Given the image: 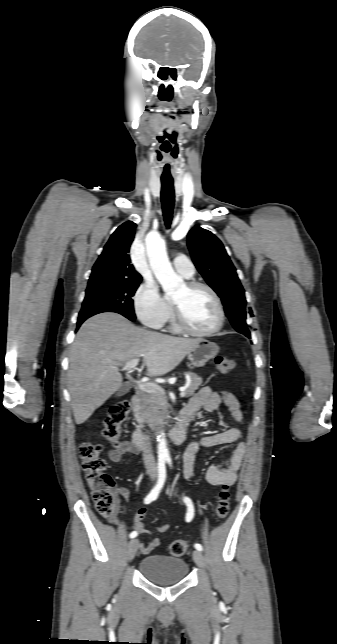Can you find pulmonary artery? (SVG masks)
<instances>
[{
  "label": "pulmonary artery",
  "instance_id": "pulmonary-artery-1",
  "mask_svg": "<svg viewBox=\"0 0 337 644\" xmlns=\"http://www.w3.org/2000/svg\"><path fill=\"white\" fill-rule=\"evenodd\" d=\"M173 265L175 270L186 278L194 275V265L186 256H177L173 261Z\"/></svg>",
  "mask_w": 337,
  "mask_h": 644
}]
</instances>
